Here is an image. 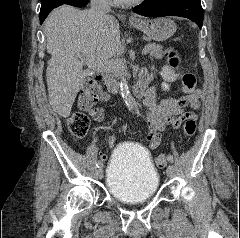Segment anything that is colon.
<instances>
[{"mask_svg": "<svg viewBox=\"0 0 240 238\" xmlns=\"http://www.w3.org/2000/svg\"><path fill=\"white\" fill-rule=\"evenodd\" d=\"M167 57L169 58L170 64L173 67H178L180 64V58L178 52L173 48L168 49ZM100 76L95 75L89 78L81 91L79 97L80 111L72 113L66 120L67 128L69 132L76 138H82L86 135L89 128V117L83 112L94 108L95 104L99 100L100 96ZM182 86L185 93H190L195 89L196 77L193 73L186 72L181 77ZM196 131V120L188 118L185 120L183 125V133L187 137H191ZM167 159L165 155L161 154L156 158V165L159 168L165 167Z\"/></svg>", "mask_w": 240, "mask_h": 238, "instance_id": "5ec220e1", "label": "colon"}]
</instances>
